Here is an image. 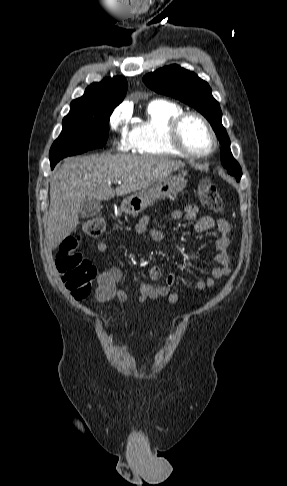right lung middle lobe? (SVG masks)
I'll return each instance as SVG.
<instances>
[{"mask_svg": "<svg viewBox=\"0 0 287 486\" xmlns=\"http://www.w3.org/2000/svg\"><path fill=\"white\" fill-rule=\"evenodd\" d=\"M112 111L108 107L96 106L70 108L69 114L62 121V132L51 146L50 164H56L66 156L103 147L107 142Z\"/></svg>", "mask_w": 287, "mask_h": 486, "instance_id": "obj_1", "label": "right lung middle lobe"}]
</instances>
